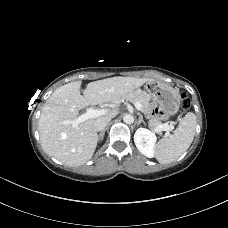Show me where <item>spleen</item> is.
I'll list each match as a JSON object with an SVG mask.
<instances>
[{
	"label": "spleen",
	"instance_id": "1",
	"mask_svg": "<svg viewBox=\"0 0 228 228\" xmlns=\"http://www.w3.org/2000/svg\"><path fill=\"white\" fill-rule=\"evenodd\" d=\"M196 116L188 112L181 120L172 135L159 140L155 157L161 164L177 160L191 145L196 129Z\"/></svg>",
	"mask_w": 228,
	"mask_h": 228
}]
</instances>
